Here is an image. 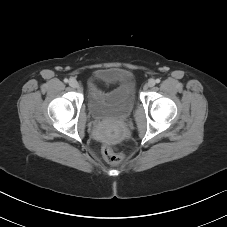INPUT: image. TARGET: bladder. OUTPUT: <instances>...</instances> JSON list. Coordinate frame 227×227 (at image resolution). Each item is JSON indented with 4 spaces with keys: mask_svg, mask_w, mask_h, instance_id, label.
<instances>
[{
    "mask_svg": "<svg viewBox=\"0 0 227 227\" xmlns=\"http://www.w3.org/2000/svg\"><path fill=\"white\" fill-rule=\"evenodd\" d=\"M94 81L109 82L120 79L123 86L122 92L114 99L102 100L90 92L88 109L96 120L117 119L128 116L135 105V87L133 78L114 68L97 70L93 76Z\"/></svg>",
    "mask_w": 227,
    "mask_h": 227,
    "instance_id": "obj_1",
    "label": "bladder"
}]
</instances>
